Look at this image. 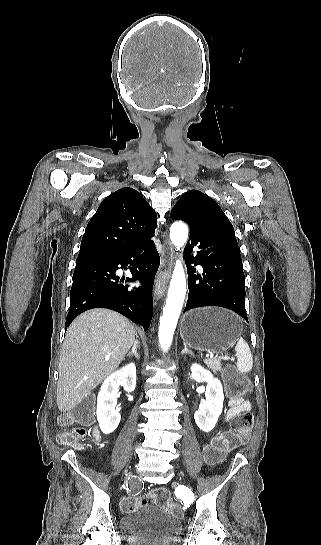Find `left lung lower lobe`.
I'll use <instances>...</instances> for the list:
<instances>
[{
	"label": "left lung lower lobe",
	"mask_w": 321,
	"mask_h": 545,
	"mask_svg": "<svg viewBox=\"0 0 321 545\" xmlns=\"http://www.w3.org/2000/svg\"><path fill=\"white\" fill-rule=\"evenodd\" d=\"M188 224L191 231L184 259L189 274V295L184 312L196 307L220 306L248 322L245 276L232 224L225 218ZM191 264L203 267V277L194 274L196 269Z\"/></svg>",
	"instance_id": "left-lung-lower-lobe-1"
}]
</instances>
